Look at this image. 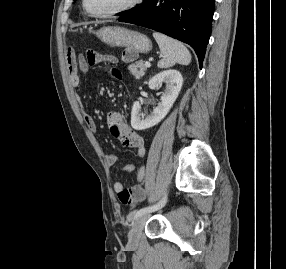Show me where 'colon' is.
Here are the masks:
<instances>
[{
	"instance_id": "5ec220e1",
	"label": "colon",
	"mask_w": 286,
	"mask_h": 269,
	"mask_svg": "<svg viewBox=\"0 0 286 269\" xmlns=\"http://www.w3.org/2000/svg\"><path fill=\"white\" fill-rule=\"evenodd\" d=\"M122 57L119 58L120 62H136V59H138V49H121ZM89 55L91 57L94 56L93 52H90ZM115 75H118V72L115 71ZM111 133L114 136L115 139H117L121 145L125 146V140L122 132L118 127H114L111 129ZM122 197L125 198L124 193L122 194Z\"/></svg>"
}]
</instances>
